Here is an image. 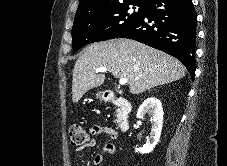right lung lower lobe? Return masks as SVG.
I'll use <instances>...</instances> for the list:
<instances>
[{
  "label": "right lung lower lobe",
  "instance_id": "1",
  "mask_svg": "<svg viewBox=\"0 0 227 166\" xmlns=\"http://www.w3.org/2000/svg\"><path fill=\"white\" fill-rule=\"evenodd\" d=\"M196 25L192 0H151L143 17L116 38L133 39L176 57L193 80Z\"/></svg>",
  "mask_w": 227,
  "mask_h": 166
}]
</instances>
